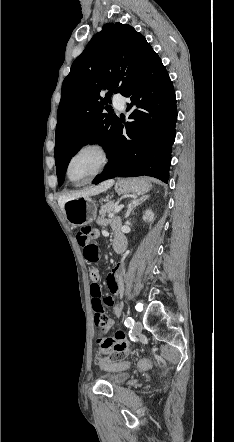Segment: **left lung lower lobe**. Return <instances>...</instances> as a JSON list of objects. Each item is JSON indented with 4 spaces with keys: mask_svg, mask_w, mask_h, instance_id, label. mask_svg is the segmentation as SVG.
I'll list each match as a JSON object with an SVG mask.
<instances>
[{
    "mask_svg": "<svg viewBox=\"0 0 234 442\" xmlns=\"http://www.w3.org/2000/svg\"><path fill=\"white\" fill-rule=\"evenodd\" d=\"M130 99L127 111L131 122L119 121L110 161L101 175L93 180L114 177L153 176L167 183L171 163V148L175 140L177 121L173 84L161 59L154 52L139 76L122 93Z\"/></svg>",
    "mask_w": 234,
    "mask_h": 442,
    "instance_id": "obj_1",
    "label": "left lung lower lobe"
}]
</instances>
